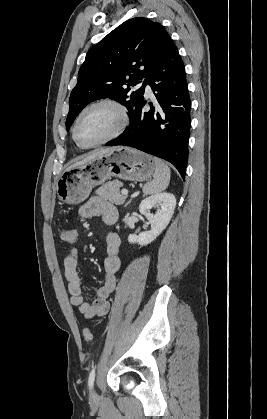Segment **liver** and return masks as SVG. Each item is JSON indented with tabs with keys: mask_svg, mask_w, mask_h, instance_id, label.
<instances>
[{
	"mask_svg": "<svg viewBox=\"0 0 267 419\" xmlns=\"http://www.w3.org/2000/svg\"><path fill=\"white\" fill-rule=\"evenodd\" d=\"M114 148H102V149H97V150H94V151H92L88 156H86L85 158H83L82 160H80V161H78V162H76L75 164H73L72 166H70L69 168H71V167H75V166H79V165H82V164H85L86 162H88V161H90V160H92V159H94V158H96V157H98V156H101V155H103V154H105V153H107V152H110V151H112Z\"/></svg>",
	"mask_w": 267,
	"mask_h": 419,
	"instance_id": "1",
	"label": "liver"
}]
</instances>
